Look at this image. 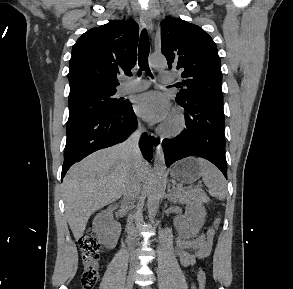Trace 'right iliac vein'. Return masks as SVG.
Returning <instances> with one entry per match:
<instances>
[{
    "instance_id": "63e3f726",
    "label": "right iliac vein",
    "mask_w": 293,
    "mask_h": 289,
    "mask_svg": "<svg viewBox=\"0 0 293 289\" xmlns=\"http://www.w3.org/2000/svg\"><path fill=\"white\" fill-rule=\"evenodd\" d=\"M132 269H134V267ZM133 281H134V272L133 270H131L128 275L125 289H133Z\"/></svg>"
}]
</instances>
